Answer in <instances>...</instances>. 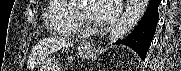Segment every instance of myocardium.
<instances>
[{
	"label": "myocardium",
	"mask_w": 181,
	"mask_h": 71,
	"mask_svg": "<svg viewBox=\"0 0 181 71\" xmlns=\"http://www.w3.org/2000/svg\"><path fill=\"white\" fill-rule=\"evenodd\" d=\"M75 9L77 12V20L82 27V31L86 33L95 32L98 29V26L90 19L87 4L79 2L75 4Z\"/></svg>",
	"instance_id": "f54148a6"
}]
</instances>
